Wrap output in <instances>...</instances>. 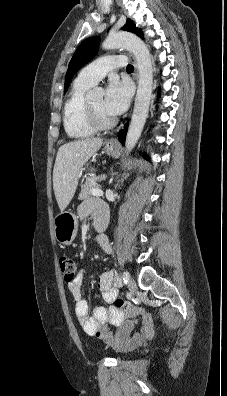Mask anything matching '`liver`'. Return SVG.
Returning <instances> with one entry per match:
<instances>
[{"instance_id": "6515ba94", "label": "liver", "mask_w": 227, "mask_h": 396, "mask_svg": "<svg viewBox=\"0 0 227 396\" xmlns=\"http://www.w3.org/2000/svg\"><path fill=\"white\" fill-rule=\"evenodd\" d=\"M102 144L103 139L99 137L86 138L66 143L58 149L53 170V189L61 211L65 210L75 194L81 168Z\"/></svg>"}]
</instances>
